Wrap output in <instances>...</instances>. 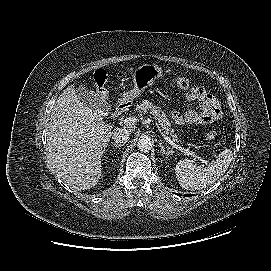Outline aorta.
I'll return each mask as SVG.
<instances>
[{
    "label": "aorta",
    "mask_w": 271,
    "mask_h": 271,
    "mask_svg": "<svg viewBox=\"0 0 271 271\" xmlns=\"http://www.w3.org/2000/svg\"><path fill=\"white\" fill-rule=\"evenodd\" d=\"M152 145V139L148 136H141L137 142L138 149L144 152L149 151L152 148Z\"/></svg>",
    "instance_id": "obj_1"
}]
</instances>
